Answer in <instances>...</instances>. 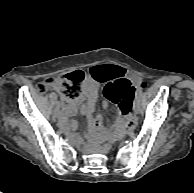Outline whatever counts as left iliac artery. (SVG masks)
<instances>
[{
  "label": "left iliac artery",
  "mask_w": 194,
  "mask_h": 193,
  "mask_svg": "<svg viewBox=\"0 0 194 193\" xmlns=\"http://www.w3.org/2000/svg\"><path fill=\"white\" fill-rule=\"evenodd\" d=\"M140 93H141V91H140V90H138V91L136 92V96H137V95H139Z\"/></svg>",
  "instance_id": "left-iliac-artery-1"
}]
</instances>
